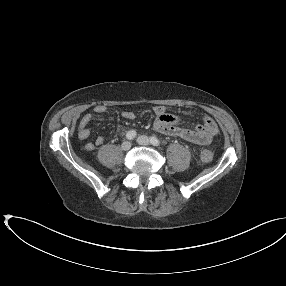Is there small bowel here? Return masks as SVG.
Here are the masks:
<instances>
[{
	"instance_id": "small-bowel-1",
	"label": "small bowel",
	"mask_w": 286,
	"mask_h": 286,
	"mask_svg": "<svg viewBox=\"0 0 286 286\" xmlns=\"http://www.w3.org/2000/svg\"><path fill=\"white\" fill-rule=\"evenodd\" d=\"M106 112L104 105H97L94 107V113L101 115ZM155 114L154 129L166 136L179 137L188 142L197 145H208L218 133V128L215 121L208 115H203L201 123L193 127H185L182 120L167 112L165 106L155 105L153 107ZM122 117L127 120H132L135 114L132 111L125 110L122 112ZM92 114L85 113L81 116L78 123L77 136L81 140H85L90 135L89 124L92 121ZM104 143V138L98 136L94 141H89L85 144L86 151H92L96 147Z\"/></svg>"
}]
</instances>
